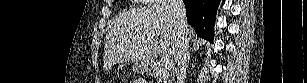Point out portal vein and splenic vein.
Returning a JSON list of instances; mask_svg holds the SVG:
<instances>
[{"instance_id": "1", "label": "portal vein and splenic vein", "mask_w": 307, "mask_h": 83, "mask_svg": "<svg viewBox=\"0 0 307 83\" xmlns=\"http://www.w3.org/2000/svg\"><path fill=\"white\" fill-rule=\"evenodd\" d=\"M162 65L165 70H171L173 68V60L165 58L162 62Z\"/></svg>"}]
</instances>
